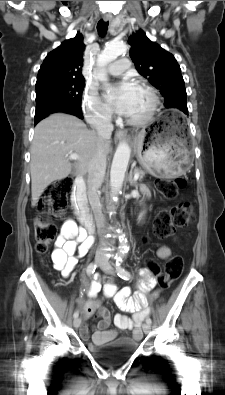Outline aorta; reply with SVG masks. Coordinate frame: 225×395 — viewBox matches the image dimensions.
I'll use <instances>...</instances> for the list:
<instances>
[{
	"label": "aorta",
	"instance_id": "aorta-1",
	"mask_svg": "<svg viewBox=\"0 0 225 395\" xmlns=\"http://www.w3.org/2000/svg\"><path fill=\"white\" fill-rule=\"evenodd\" d=\"M127 48L123 42H111L105 46L102 52L97 57V65L100 71L97 74L98 79L107 85V76L103 71V68L114 61L118 56L126 52ZM130 147L126 142H121L114 154L111 170H110V186L113 199L120 192L123 186L125 172L130 159ZM120 245L118 251V258L124 257L128 251L127 240L124 235L119 237Z\"/></svg>",
	"mask_w": 225,
	"mask_h": 395
}]
</instances>
